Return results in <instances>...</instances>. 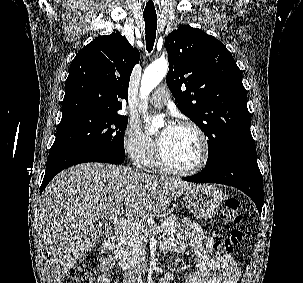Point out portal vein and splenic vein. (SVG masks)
Masks as SVG:
<instances>
[{"label": "portal vein and splenic vein", "mask_w": 303, "mask_h": 283, "mask_svg": "<svg viewBox=\"0 0 303 283\" xmlns=\"http://www.w3.org/2000/svg\"><path fill=\"white\" fill-rule=\"evenodd\" d=\"M109 221L114 225H119L122 227L140 226V224H138L137 222H132L129 219L121 218V217H118L115 215H111L109 217ZM161 231H162L161 227H155V228L148 230V232H153V234H158Z\"/></svg>", "instance_id": "portal-vein-and-splenic-vein-1"}]
</instances>
